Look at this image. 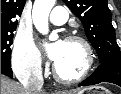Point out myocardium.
<instances>
[{
	"instance_id": "1",
	"label": "myocardium",
	"mask_w": 121,
	"mask_h": 94,
	"mask_svg": "<svg viewBox=\"0 0 121 94\" xmlns=\"http://www.w3.org/2000/svg\"><path fill=\"white\" fill-rule=\"evenodd\" d=\"M65 41L66 42H75V43L80 44L83 47L84 52H85L84 67L79 74H77L75 76L64 77L59 73L56 65L53 64V67H52L53 76L58 82L63 83V84H74V83L81 82L85 78H87V76L91 72L93 64H94V55H93L92 47L85 38H83L79 35H70V36L66 37Z\"/></svg>"
}]
</instances>
